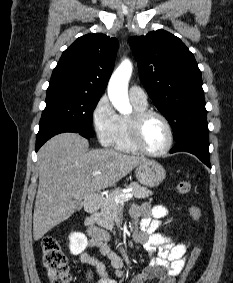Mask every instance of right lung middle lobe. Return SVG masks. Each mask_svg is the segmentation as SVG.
I'll return each mask as SVG.
<instances>
[{
  "label": "right lung middle lobe",
  "mask_w": 233,
  "mask_h": 283,
  "mask_svg": "<svg viewBox=\"0 0 233 283\" xmlns=\"http://www.w3.org/2000/svg\"><path fill=\"white\" fill-rule=\"evenodd\" d=\"M100 97L63 87H48L39 133L50 128L67 127L91 138L92 112Z\"/></svg>",
  "instance_id": "right-lung-middle-lobe-1"
}]
</instances>
